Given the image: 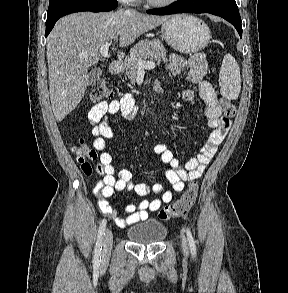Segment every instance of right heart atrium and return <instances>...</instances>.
<instances>
[{"mask_svg":"<svg viewBox=\"0 0 288 293\" xmlns=\"http://www.w3.org/2000/svg\"><path fill=\"white\" fill-rule=\"evenodd\" d=\"M118 1L123 3H132V2H135L136 0H118Z\"/></svg>","mask_w":288,"mask_h":293,"instance_id":"d8ad5b80","label":"right heart atrium"}]
</instances>
